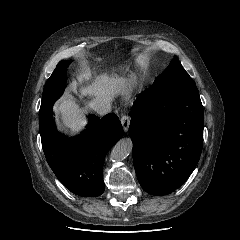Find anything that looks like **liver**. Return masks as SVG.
<instances>
[{
    "label": "liver",
    "instance_id": "6515ba94",
    "mask_svg": "<svg viewBox=\"0 0 240 240\" xmlns=\"http://www.w3.org/2000/svg\"><path fill=\"white\" fill-rule=\"evenodd\" d=\"M125 87V80L120 77L103 75L90 86L81 88L83 95H94L97 98L110 100L118 91ZM54 109L60 116L62 124L73 132L81 130L83 125L82 110L71 98H66L55 104Z\"/></svg>",
    "mask_w": 240,
    "mask_h": 240
}]
</instances>
